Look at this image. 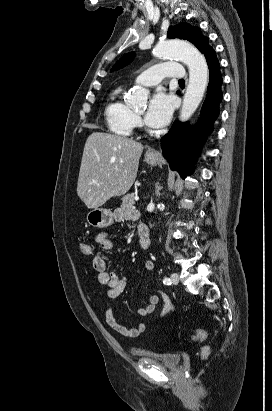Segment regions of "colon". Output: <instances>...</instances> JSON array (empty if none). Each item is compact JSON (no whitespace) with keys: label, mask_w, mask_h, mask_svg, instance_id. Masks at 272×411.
<instances>
[{"label":"colon","mask_w":272,"mask_h":411,"mask_svg":"<svg viewBox=\"0 0 272 411\" xmlns=\"http://www.w3.org/2000/svg\"><path fill=\"white\" fill-rule=\"evenodd\" d=\"M80 251L83 255L89 256L92 252L91 251V246L88 243L83 242V243L80 244ZM205 337H206L205 330L202 329V328H199L191 336V339L195 340V341H201ZM210 351H211L210 346H208V345L203 346L202 349H201V352H200L201 359H206L209 356Z\"/></svg>","instance_id":"1"}]
</instances>
